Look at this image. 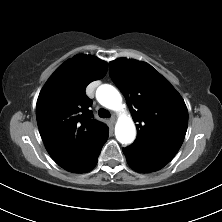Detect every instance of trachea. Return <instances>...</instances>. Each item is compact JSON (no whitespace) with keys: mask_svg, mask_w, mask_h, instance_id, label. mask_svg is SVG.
Segmentation results:
<instances>
[{"mask_svg":"<svg viewBox=\"0 0 222 222\" xmlns=\"http://www.w3.org/2000/svg\"><path fill=\"white\" fill-rule=\"evenodd\" d=\"M98 115L101 118H109L110 117V112L104 108H100L98 111Z\"/></svg>","mask_w":222,"mask_h":222,"instance_id":"trachea-1","label":"trachea"}]
</instances>
